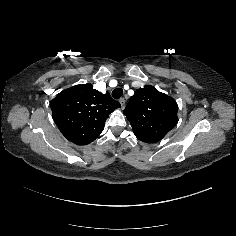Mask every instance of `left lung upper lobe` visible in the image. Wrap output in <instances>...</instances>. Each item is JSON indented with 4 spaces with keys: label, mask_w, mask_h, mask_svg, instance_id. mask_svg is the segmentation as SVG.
Wrapping results in <instances>:
<instances>
[{
    "label": "left lung upper lobe",
    "mask_w": 236,
    "mask_h": 236,
    "mask_svg": "<svg viewBox=\"0 0 236 236\" xmlns=\"http://www.w3.org/2000/svg\"><path fill=\"white\" fill-rule=\"evenodd\" d=\"M177 111L174 99L146 85L136 90L123 112L139 140L156 143L176 125Z\"/></svg>",
    "instance_id": "obj_1"
}]
</instances>
